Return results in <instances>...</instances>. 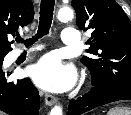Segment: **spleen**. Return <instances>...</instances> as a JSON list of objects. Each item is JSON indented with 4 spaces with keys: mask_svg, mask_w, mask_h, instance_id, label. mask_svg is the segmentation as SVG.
I'll return each mask as SVG.
<instances>
[{
    "mask_svg": "<svg viewBox=\"0 0 131 115\" xmlns=\"http://www.w3.org/2000/svg\"><path fill=\"white\" fill-rule=\"evenodd\" d=\"M107 115H131V109L125 107H116L110 109Z\"/></svg>",
    "mask_w": 131,
    "mask_h": 115,
    "instance_id": "3e777b00",
    "label": "spleen"
}]
</instances>
